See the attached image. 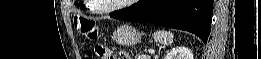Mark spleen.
I'll list each match as a JSON object with an SVG mask.
<instances>
[{
	"label": "spleen",
	"instance_id": "1",
	"mask_svg": "<svg viewBox=\"0 0 261 59\" xmlns=\"http://www.w3.org/2000/svg\"><path fill=\"white\" fill-rule=\"evenodd\" d=\"M173 33L170 31H156L153 33V38L156 42H159L163 45H170L173 43Z\"/></svg>",
	"mask_w": 261,
	"mask_h": 59
}]
</instances>
